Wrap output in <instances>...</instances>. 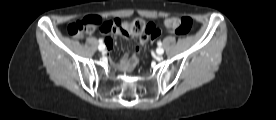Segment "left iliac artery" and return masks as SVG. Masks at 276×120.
<instances>
[{
  "label": "left iliac artery",
  "instance_id": "left-iliac-artery-1",
  "mask_svg": "<svg viewBox=\"0 0 276 120\" xmlns=\"http://www.w3.org/2000/svg\"><path fill=\"white\" fill-rule=\"evenodd\" d=\"M157 45H158L159 47L162 46L161 41L157 42Z\"/></svg>",
  "mask_w": 276,
  "mask_h": 120
}]
</instances>
